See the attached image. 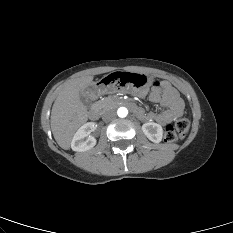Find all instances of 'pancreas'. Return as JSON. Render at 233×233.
I'll list each match as a JSON object with an SVG mask.
<instances>
[{"label": "pancreas", "mask_w": 233, "mask_h": 233, "mask_svg": "<svg viewBox=\"0 0 233 233\" xmlns=\"http://www.w3.org/2000/svg\"><path fill=\"white\" fill-rule=\"evenodd\" d=\"M96 105L102 111H105L108 109L115 108L117 106V100L113 97H106V98H103V99L99 100L98 102H96Z\"/></svg>", "instance_id": "obj_1"}]
</instances>
